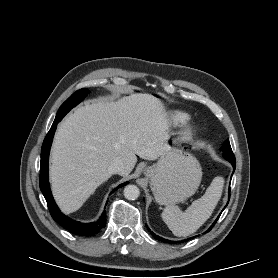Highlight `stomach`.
Masks as SVG:
<instances>
[{
  "label": "stomach",
  "instance_id": "stomach-1",
  "mask_svg": "<svg viewBox=\"0 0 278 278\" xmlns=\"http://www.w3.org/2000/svg\"><path fill=\"white\" fill-rule=\"evenodd\" d=\"M155 200L174 205L192 196L202 179L198 160L183 148L167 146L158 162L146 168Z\"/></svg>",
  "mask_w": 278,
  "mask_h": 278
}]
</instances>
